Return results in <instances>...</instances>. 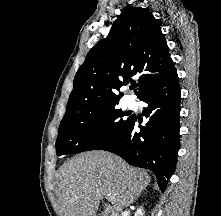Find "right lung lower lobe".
<instances>
[{
  "label": "right lung lower lobe",
  "mask_w": 221,
  "mask_h": 216,
  "mask_svg": "<svg viewBox=\"0 0 221 216\" xmlns=\"http://www.w3.org/2000/svg\"><path fill=\"white\" fill-rule=\"evenodd\" d=\"M148 104L143 116L146 126H138L135 116L118 137L101 150L115 153L130 165L150 169L163 192L177 162L179 150L180 87L176 70L168 74L140 98ZM140 132H136V128Z\"/></svg>",
  "instance_id": "98d812e1"
}]
</instances>
